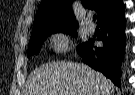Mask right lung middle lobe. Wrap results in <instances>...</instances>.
<instances>
[{
  "instance_id": "obj_1",
  "label": "right lung middle lobe",
  "mask_w": 135,
  "mask_h": 95,
  "mask_svg": "<svg viewBox=\"0 0 135 95\" xmlns=\"http://www.w3.org/2000/svg\"><path fill=\"white\" fill-rule=\"evenodd\" d=\"M56 32L69 33V34H72L73 36H76V30L41 31V32L32 33L30 41H29V46H28V53H27L28 57L33 54H38L44 40L49 35ZM84 44L85 43L78 45L77 50L80 49Z\"/></svg>"
}]
</instances>
